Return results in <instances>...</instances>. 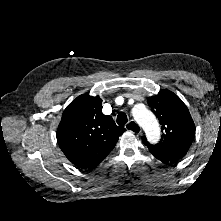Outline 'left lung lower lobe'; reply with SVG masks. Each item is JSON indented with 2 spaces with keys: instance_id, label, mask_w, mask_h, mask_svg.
Masks as SVG:
<instances>
[{
  "instance_id": "0a47b994",
  "label": "left lung lower lobe",
  "mask_w": 221,
  "mask_h": 221,
  "mask_svg": "<svg viewBox=\"0 0 221 221\" xmlns=\"http://www.w3.org/2000/svg\"><path fill=\"white\" fill-rule=\"evenodd\" d=\"M189 148L190 146H182L173 150H159L156 148H149V151L154 155V157L163 163H173L183 158Z\"/></svg>"
}]
</instances>
